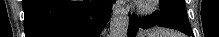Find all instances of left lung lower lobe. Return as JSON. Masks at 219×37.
I'll return each instance as SVG.
<instances>
[{
    "instance_id": "left-lung-lower-lobe-1",
    "label": "left lung lower lobe",
    "mask_w": 219,
    "mask_h": 37,
    "mask_svg": "<svg viewBox=\"0 0 219 37\" xmlns=\"http://www.w3.org/2000/svg\"><path fill=\"white\" fill-rule=\"evenodd\" d=\"M163 26L179 30L188 36H193L192 29L183 26L173 17L156 11L153 14L138 18L135 14H129L128 37H135L140 28Z\"/></svg>"
}]
</instances>
